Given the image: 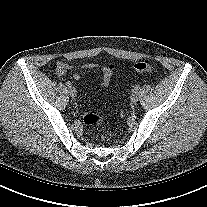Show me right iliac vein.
Masks as SVG:
<instances>
[{
  "label": "right iliac vein",
  "mask_w": 207,
  "mask_h": 207,
  "mask_svg": "<svg viewBox=\"0 0 207 207\" xmlns=\"http://www.w3.org/2000/svg\"><path fill=\"white\" fill-rule=\"evenodd\" d=\"M69 94H70V96L73 97V98L76 96V90H75L74 87H70V88H69Z\"/></svg>",
  "instance_id": "obj_1"
}]
</instances>
